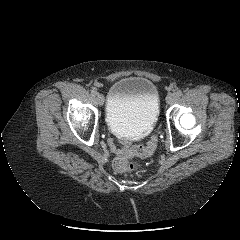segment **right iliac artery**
Instances as JSON below:
<instances>
[{
    "label": "right iliac artery",
    "mask_w": 240,
    "mask_h": 240,
    "mask_svg": "<svg viewBox=\"0 0 240 240\" xmlns=\"http://www.w3.org/2000/svg\"><path fill=\"white\" fill-rule=\"evenodd\" d=\"M91 93H92V95H97V90L95 89V88H93L92 90H91Z\"/></svg>",
    "instance_id": "right-iliac-artery-1"
}]
</instances>
